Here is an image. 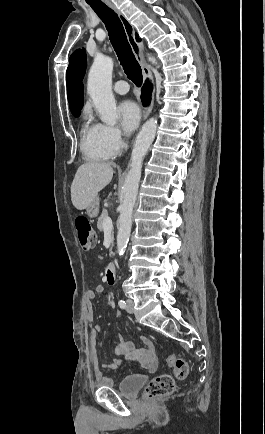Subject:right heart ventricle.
<instances>
[{"mask_svg":"<svg viewBox=\"0 0 265 434\" xmlns=\"http://www.w3.org/2000/svg\"><path fill=\"white\" fill-rule=\"evenodd\" d=\"M80 122V148L86 161L95 163L114 159L116 154H107L105 148L99 144L97 124L93 123L92 112L88 107L81 111Z\"/></svg>","mask_w":265,"mask_h":434,"instance_id":"right-heart-ventricle-1","label":"right heart ventricle"}]
</instances>
